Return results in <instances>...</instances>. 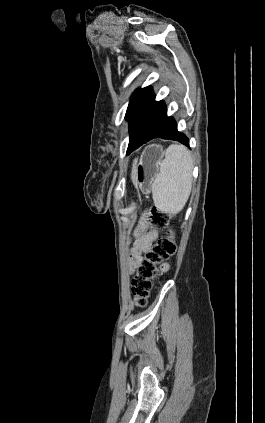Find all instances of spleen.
<instances>
[{"mask_svg": "<svg viewBox=\"0 0 265 423\" xmlns=\"http://www.w3.org/2000/svg\"><path fill=\"white\" fill-rule=\"evenodd\" d=\"M192 169V157L186 147L172 144L167 148L151 186L154 205L159 211L177 214L184 208L191 193Z\"/></svg>", "mask_w": 265, "mask_h": 423, "instance_id": "obj_1", "label": "spleen"}]
</instances>
